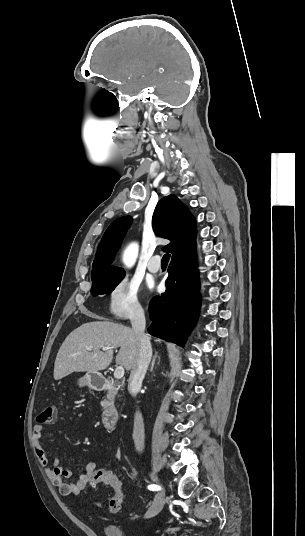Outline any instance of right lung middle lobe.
Segmentation results:
<instances>
[{"mask_svg": "<svg viewBox=\"0 0 305 536\" xmlns=\"http://www.w3.org/2000/svg\"><path fill=\"white\" fill-rule=\"evenodd\" d=\"M125 274L105 279L92 280L91 294L97 296L100 294L109 295L115 287L121 282Z\"/></svg>", "mask_w": 305, "mask_h": 536, "instance_id": "dd1d6c3e", "label": "right lung middle lobe"}]
</instances>
